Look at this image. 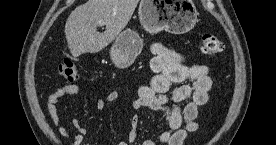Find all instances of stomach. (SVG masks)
<instances>
[{
	"instance_id": "stomach-1",
	"label": "stomach",
	"mask_w": 276,
	"mask_h": 145,
	"mask_svg": "<svg viewBox=\"0 0 276 145\" xmlns=\"http://www.w3.org/2000/svg\"><path fill=\"white\" fill-rule=\"evenodd\" d=\"M141 25L151 34L167 31L182 34L197 22L198 12L192 0H142L139 5ZM143 48V41L132 29L121 32L112 45L110 56L116 67L131 66Z\"/></svg>"
}]
</instances>
